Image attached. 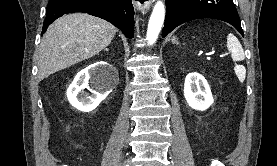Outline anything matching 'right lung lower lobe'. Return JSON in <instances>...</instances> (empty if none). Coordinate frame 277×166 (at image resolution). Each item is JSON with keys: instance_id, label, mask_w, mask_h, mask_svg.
<instances>
[{"instance_id": "98d812e1", "label": "right lung lower lobe", "mask_w": 277, "mask_h": 166, "mask_svg": "<svg viewBox=\"0 0 277 166\" xmlns=\"http://www.w3.org/2000/svg\"><path fill=\"white\" fill-rule=\"evenodd\" d=\"M74 12H85L100 17L128 37L134 35V9L131 0H49L42 34L58 17Z\"/></svg>"}]
</instances>
